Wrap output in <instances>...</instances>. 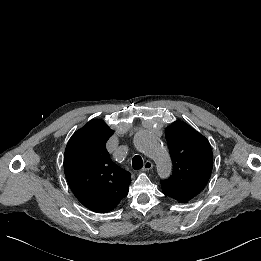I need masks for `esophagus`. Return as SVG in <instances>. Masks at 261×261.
Segmentation results:
<instances>
[{"instance_id": "esophagus-1", "label": "esophagus", "mask_w": 261, "mask_h": 261, "mask_svg": "<svg viewBox=\"0 0 261 261\" xmlns=\"http://www.w3.org/2000/svg\"><path fill=\"white\" fill-rule=\"evenodd\" d=\"M152 167H153V163L151 161H146L142 170L148 171V170L152 169Z\"/></svg>"}]
</instances>
